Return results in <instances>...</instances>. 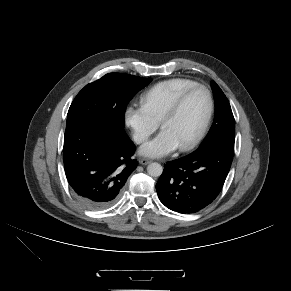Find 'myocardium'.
<instances>
[{"instance_id": "myocardium-1", "label": "myocardium", "mask_w": 291, "mask_h": 291, "mask_svg": "<svg viewBox=\"0 0 291 291\" xmlns=\"http://www.w3.org/2000/svg\"><path fill=\"white\" fill-rule=\"evenodd\" d=\"M203 90L208 98V110L206 113V116L203 120V123L200 127V129L198 130V132L194 135V137L188 141L187 143L180 145L179 146V150L180 151H188L191 150L192 148H194L199 142L200 140L203 138V136L205 135L209 124L211 122L213 113H214V99H213V95L212 92L210 91V89L208 87H206L205 85L202 84H195L187 89H185L184 91H182L177 98L173 101V103L169 106V108L166 110V112L163 114L161 120H160V126L162 127L163 124L169 120L170 118H172L174 115H176V113L179 111V109L181 108V106L183 105L184 101L186 100V98L195 90Z\"/></svg>"}]
</instances>
